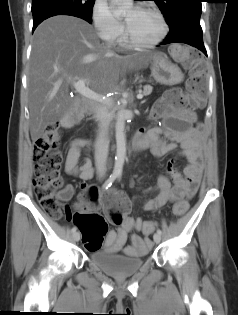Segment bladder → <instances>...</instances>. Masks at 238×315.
<instances>
[{
  "label": "bladder",
  "mask_w": 238,
  "mask_h": 315,
  "mask_svg": "<svg viewBox=\"0 0 238 315\" xmlns=\"http://www.w3.org/2000/svg\"><path fill=\"white\" fill-rule=\"evenodd\" d=\"M88 258L99 269L116 277L132 275L138 272L145 263L143 257H131L101 250H91Z\"/></svg>",
  "instance_id": "bladder-1"
}]
</instances>
